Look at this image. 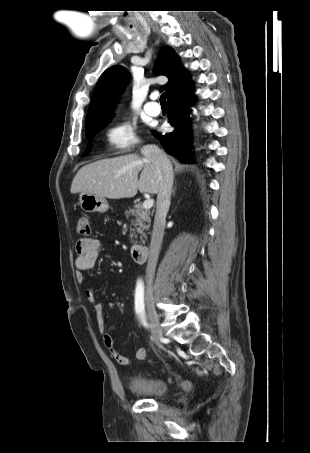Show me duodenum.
<instances>
[{"instance_id":"410a0bca","label":"duodenum","mask_w":310,"mask_h":453,"mask_svg":"<svg viewBox=\"0 0 310 453\" xmlns=\"http://www.w3.org/2000/svg\"><path fill=\"white\" fill-rule=\"evenodd\" d=\"M131 253L137 263H145L149 256V248L143 244H135L131 248Z\"/></svg>"}]
</instances>
